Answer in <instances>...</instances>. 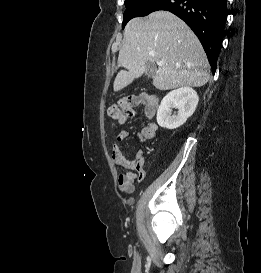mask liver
Returning <instances> with one entry per match:
<instances>
[{
    "label": "liver",
    "mask_w": 261,
    "mask_h": 273,
    "mask_svg": "<svg viewBox=\"0 0 261 273\" xmlns=\"http://www.w3.org/2000/svg\"><path fill=\"white\" fill-rule=\"evenodd\" d=\"M113 89L118 92L146 71L148 62H164L155 70L153 86L159 90L202 87L210 78L205 51L191 29L168 11L133 18L124 30Z\"/></svg>",
    "instance_id": "6515ba94"
}]
</instances>
